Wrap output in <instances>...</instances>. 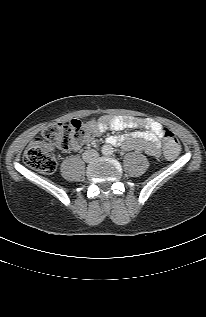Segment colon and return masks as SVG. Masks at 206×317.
<instances>
[{
  "label": "colon",
  "mask_w": 206,
  "mask_h": 317,
  "mask_svg": "<svg viewBox=\"0 0 206 317\" xmlns=\"http://www.w3.org/2000/svg\"><path fill=\"white\" fill-rule=\"evenodd\" d=\"M94 128L81 122L71 120L58 123L43 130L41 137L34 139L24 152V162L27 166L44 174H51L56 169V160L51 153V147L70 150L75 145L89 139ZM165 154L169 158L177 156L180 143L176 135L165 129L163 133Z\"/></svg>",
  "instance_id": "5ec220e1"
}]
</instances>
